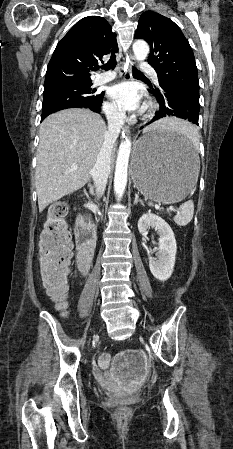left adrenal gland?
<instances>
[{"mask_svg":"<svg viewBox=\"0 0 233 449\" xmlns=\"http://www.w3.org/2000/svg\"><path fill=\"white\" fill-rule=\"evenodd\" d=\"M138 203H140L142 206H144V203L142 200L139 199L138 194H135V200H134L133 204L136 205Z\"/></svg>","mask_w":233,"mask_h":449,"instance_id":"obj_1","label":"left adrenal gland"}]
</instances>
